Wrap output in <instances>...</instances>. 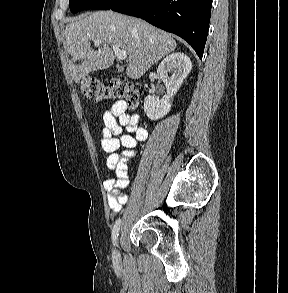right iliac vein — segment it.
Listing matches in <instances>:
<instances>
[{
  "label": "right iliac vein",
  "mask_w": 288,
  "mask_h": 293,
  "mask_svg": "<svg viewBox=\"0 0 288 293\" xmlns=\"http://www.w3.org/2000/svg\"><path fill=\"white\" fill-rule=\"evenodd\" d=\"M118 256H119V252H118V250H115L114 251V253H113V257H114V259H118Z\"/></svg>",
  "instance_id": "1"
}]
</instances>
